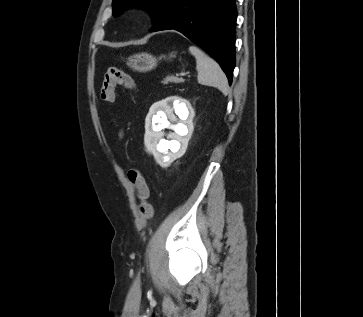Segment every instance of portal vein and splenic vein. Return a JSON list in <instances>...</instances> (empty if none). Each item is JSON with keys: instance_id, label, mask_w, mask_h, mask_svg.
Returning <instances> with one entry per match:
<instances>
[{"instance_id": "portal-vein-and-splenic-vein-1", "label": "portal vein and splenic vein", "mask_w": 363, "mask_h": 317, "mask_svg": "<svg viewBox=\"0 0 363 317\" xmlns=\"http://www.w3.org/2000/svg\"><path fill=\"white\" fill-rule=\"evenodd\" d=\"M188 73H180V76L181 77H184V76H186Z\"/></svg>"}]
</instances>
